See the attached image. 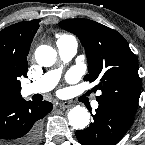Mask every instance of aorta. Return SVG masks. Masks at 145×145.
I'll return each instance as SVG.
<instances>
[{
    "mask_svg": "<svg viewBox=\"0 0 145 145\" xmlns=\"http://www.w3.org/2000/svg\"><path fill=\"white\" fill-rule=\"evenodd\" d=\"M37 63L43 67L52 66L57 59V52L51 46L40 45L35 51ZM69 124L75 129H84L90 122V114L85 107L76 106L68 112Z\"/></svg>",
    "mask_w": 145,
    "mask_h": 145,
    "instance_id": "1",
    "label": "aorta"
}]
</instances>
